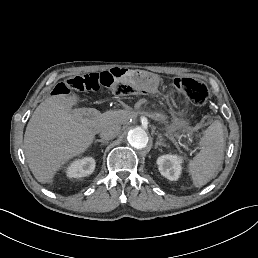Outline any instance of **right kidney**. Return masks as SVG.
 <instances>
[{"label": "right kidney", "mask_w": 258, "mask_h": 258, "mask_svg": "<svg viewBox=\"0 0 258 258\" xmlns=\"http://www.w3.org/2000/svg\"><path fill=\"white\" fill-rule=\"evenodd\" d=\"M95 169V160L92 157H85L73 161L66 169V175L69 178L86 177L93 173Z\"/></svg>", "instance_id": "obj_1"}]
</instances>
